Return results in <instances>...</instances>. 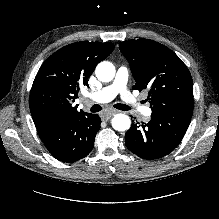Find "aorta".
Segmentation results:
<instances>
[{"label":"aorta","instance_id":"aorta-1","mask_svg":"<svg viewBox=\"0 0 219 219\" xmlns=\"http://www.w3.org/2000/svg\"><path fill=\"white\" fill-rule=\"evenodd\" d=\"M115 73V66L109 61L100 62L95 70L96 77L102 82L111 81ZM111 124L116 131H127L131 126V120L127 115L119 113L112 118Z\"/></svg>","mask_w":219,"mask_h":219}]
</instances>
